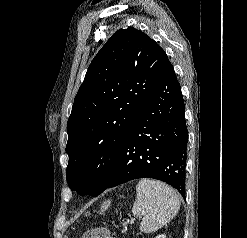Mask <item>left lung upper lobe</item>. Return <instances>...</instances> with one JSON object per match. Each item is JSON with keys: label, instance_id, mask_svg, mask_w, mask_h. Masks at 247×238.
I'll return each instance as SVG.
<instances>
[{"label": "left lung upper lobe", "instance_id": "1", "mask_svg": "<svg viewBox=\"0 0 247 238\" xmlns=\"http://www.w3.org/2000/svg\"><path fill=\"white\" fill-rule=\"evenodd\" d=\"M167 61L164 50L133 27L115 32L94 57L67 124L66 178L72 190L92 196L102 192Z\"/></svg>", "mask_w": 247, "mask_h": 238}]
</instances>
